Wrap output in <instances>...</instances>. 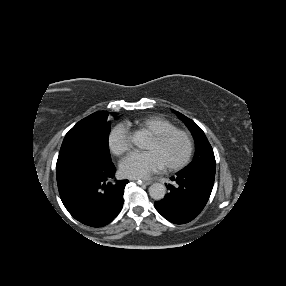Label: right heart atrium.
<instances>
[{"label": "right heart atrium", "mask_w": 286, "mask_h": 286, "mask_svg": "<svg viewBox=\"0 0 286 286\" xmlns=\"http://www.w3.org/2000/svg\"><path fill=\"white\" fill-rule=\"evenodd\" d=\"M107 145L110 152L118 157L129 152L132 143L127 128L120 124L114 126L108 133Z\"/></svg>", "instance_id": "obj_1"}]
</instances>
